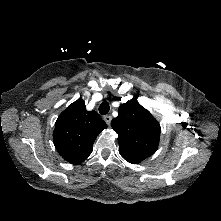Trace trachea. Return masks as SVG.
Segmentation results:
<instances>
[{"label":"trachea","mask_w":221,"mask_h":221,"mask_svg":"<svg viewBox=\"0 0 221 221\" xmlns=\"http://www.w3.org/2000/svg\"><path fill=\"white\" fill-rule=\"evenodd\" d=\"M109 110H110V106L107 101H104L100 104L99 113L101 115H106L109 112Z\"/></svg>","instance_id":"1"}]
</instances>
